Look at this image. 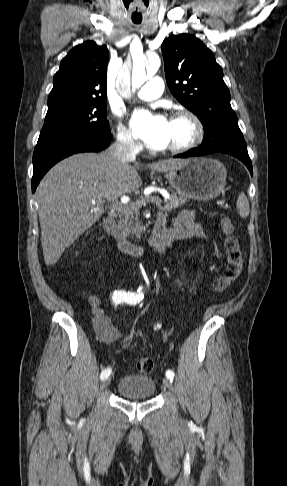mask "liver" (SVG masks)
<instances>
[{
	"label": "liver",
	"mask_w": 287,
	"mask_h": 486,
	"mask_svg": "<svg viewBox=\"0 0 287 486\" xmlns=\"http://www.w3.org/2000/svg\"><path fill=\"white\" fill-rule=\"evenodd\" d=\"M183 161L161 160L148 167L167 172ZM139 167L136 162H122L107 150L72 155L49 170L36 190L46 265H54L64 250L99 220L106 201L114 204L139 189Z\"/></svg>",
	"instance_id": "6515ba94"
}]
</instances>
